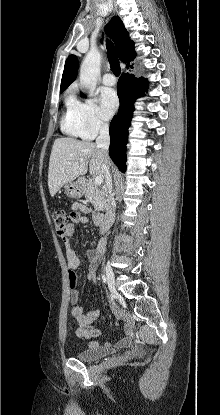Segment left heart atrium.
<instances>
[{"label": "left heart atrium", "mask_w": 220, "mask_h": 415, "mask_svg": "<svg viewBox=\"0 0 220 415\" xmlns=\"http://www.w3.org/2000/svg\"><path fill=\"white\" fill-rule=\"evenodd\" d=\"M100 114L109 119L118 108V98L113 89L102 88L99 92Z\"/></svg>", "instance_id": "obj_1"}]
</instances>
